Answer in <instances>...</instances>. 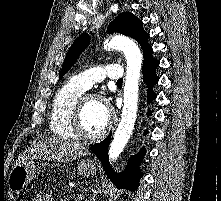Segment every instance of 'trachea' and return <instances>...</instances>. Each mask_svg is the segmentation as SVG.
Instances as JSON below:
<instances>
[{
	"instance_id": "obj_1",
	"label": "trachea",
	"mask_w": 221,
	"mask_h": 201,
	"mask_svg": "<svg viewBox=\"0 0 221 201\" xmlns=\"http://www.w3.org/2000/svg\"><path fill=\"white\" fill-rule=\"evenodd\" d=\"M122 82H123V80L120 79V80L117 81V84H122Z\"/></svg>"
}]
</instances>
